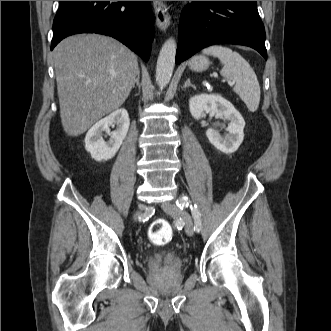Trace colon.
Segmentation results:
<instances>
[{
    "label": "colon",
    "mask_w": 331,
    "mask_h": 331,
    "mask_svg": "<svg viewBox=\"0 0 331 331\" xmlns=\"http://www.w3.org/2000/svg\"><path fill=\"white\" fill-rule=\"evenodd\" d=\"M148 236L152 243L165 245L172 239L173 229L167 221L156 220L150 225Z\"/></svg>",
    "instance_id": "1"
}]
</instances>
